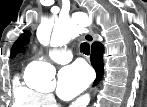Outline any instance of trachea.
I'll list each match as a JSON object with an SVG mask.
<instances>
[{
	"label": "trachea",
	"mask_w": 147,
	"mask_h": 107,
	"mask_svg": "<svg viewBox=\"0 0 147 107\" xmlns=\"http://www.w3.org/2000/svg\"><path fill=\"white\" fill-rule=\"evenodd\" d=\"M80 50L85 54L89 55L90 54V45L86 42L81 43L80 45Z\"/></svg>",
	"instance_id": "obj_1"
}]
</instances>
